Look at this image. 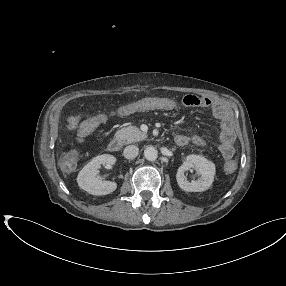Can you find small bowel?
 I'll return each mask as SVG.
<instances>
[{
  "instance_id": "small-bowel-1",
  "label": "small bowel",
  "mask_w": 286,
  "mask_h": 286,
  "mask_svg": "<svg viewBox=\"0 0 286 286\" xmlns=\"http://www.w3.org/2000/svg\"><path fill=\"white\" fill-rule=\"evenodd\" d=\"M181 105L185 107H199L210 109L213 115L221 121V144L219 146V150L222 156L225 159H230L234 154V144H235V133L233 128V121L229 114L227 107L217 101H213L209 97L206 96H194L187 95L181 100ZM179 103L170 98H160V97H152L145 98L133 104H129L123 107L118 108L114 114L118 115H127L136 111L142 110H163V111H172L177 109ZM108 114H97L91 118L84 120L81 124L88 125L91 127V131L96 129L99 125L103 124L107 119ZM68 128L75 129L78 127L73 116L68 118ZM90 131V132H91ZM192 142L198 146H202L205 143V140L199 136L195 135L189 137L185 134H178L175 136V143L178 146H184Z\"/></svg>"
}]
</instances>
